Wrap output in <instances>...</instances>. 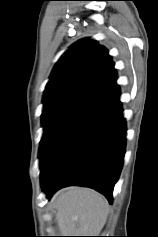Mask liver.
I'll use <instances>...</instances> for the list:
<instances>
[{"instance_id":"obj_1","label":"liver","mask_w":158,"mask_h":237,"mask_svg":"<svg viewBox=\"0 0 158 237\" xmlns=\"http://www.w3.org/2000/svg\"><path fill=\"white\" fill-rule=\"evenodd\" d=\"M61 236H96L105 225L109 204L98 192L83 187H67L51 200Z\"/></svg>"}]
</instances>
